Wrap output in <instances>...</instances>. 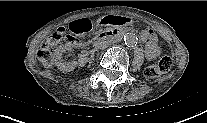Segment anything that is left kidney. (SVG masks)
<instances>
[{"instance_id":"5707ae66","label":"left kidney","mask_w":207,"mask_h":123,"mask_svg":"<svg viewBox=\"0 0 207 123\" xmlns=\"http://www.w3.org/2000/svg\"><path fill=\"white\" fill-rule=\"evenodd\" d=\"M146 55L150 59L156 56V54L152 53L151 50L146 51Z\"/></svg>"}]
</instances>
